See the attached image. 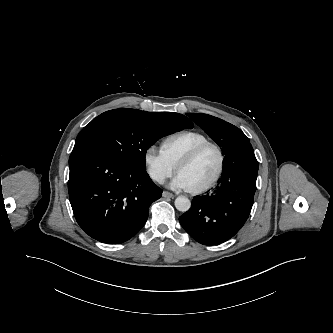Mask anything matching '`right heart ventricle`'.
<instances>
[{
    "label": "right heart ventricle",
    "mask_w": 333,
    "mask_h": 333,
    "mask_svg": "<svg viewBox=\"0 0 333 333\" xmlns=\"http://www.w3.org/2000/svg\"><path fill=\"white\" fill-rule=\"evenodd\" d=\"M210 142L197 131H180L166 137L161 143V150L177 166L180 160L197 146Z\"/></svg>",
    "instance_id": "1"
}]
</instances>
